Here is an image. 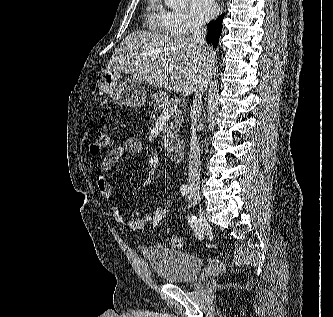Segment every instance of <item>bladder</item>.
I'll use <instances>...</instances> for the list:
<instances>
[{
	"instance_id": "bladder-1",
	"label": "bladder",
	"mask_w": 333,
	"mask_h": 317,
	"mask_svg": "<svg viewBox=\"0 0 333 317\" xmlns=\"http://www.w3.org/2000/svg\"><path fill=\"white\" fill-rule=\"evenodd\" d=\"M145 257L155 275L168 283L191 282L203 268V260L199 256L160 245L146 249Z\"/></svg>"
}]
</instances>
